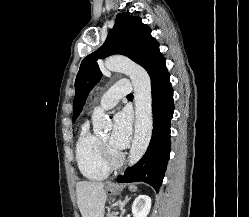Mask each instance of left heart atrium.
Returning a JSON list of instances; mask_svg holds the SVG:
<instances>
[{"instance_id": "1", "label": "left heart atrium", "mask_w": 249, "mask_h": 217, "mask_svg": "<svg viewBox=\"0 0 249 217\" xmlns=\"http://www.w3.org/2000/svg\"><path fill=\"white\" fill-rule=\"evenodd\" d=\"M131 123L126 112H119L114 117V126L109 143L116 150L124 149L130 140Z\"/></svg>"}]
</instances>
